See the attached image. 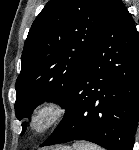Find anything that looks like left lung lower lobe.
Segmentation results:
<instances>
[{
  "label": "left lung lower lobe",
  "instance_id": "0a47b994",
  "mask_svg": "<svg viewBox=\"0 0 139 150\" xmlns=\"http://www.w3.org/2000/svg\"><path fill=\"white\" fill-rule=\"evenodd\" d=\"M63 108V120L41 146L86 140L107 150L133 149L139 119V38L121 0L113 3Z\"/></svg>",
  "mask_w": 139,
  "mask_h": 150
}]
</instances>
